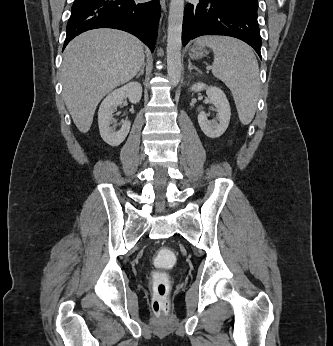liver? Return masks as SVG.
<instances>
[{
	"instance_id": "liver-1",
	"label": "liver",
	"mask_w": 333,
	"mask_h": 346,
	"mask_svg": "<svg viewBox=\"0 0 333 346\" xmlns=\"http://www.w3.org/2000/svg\"><path fill=\"white\" fill-rule=\"evenodd\" d=\"M144 59L141 41L115 29L90 30L67 45L61 67L63 98L82 133L89 131L101 99L132 79Z\"/></svg>"
}]
</instances>
